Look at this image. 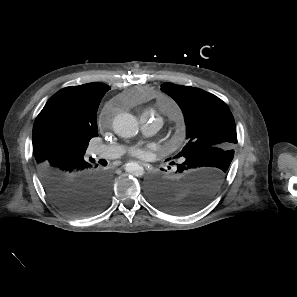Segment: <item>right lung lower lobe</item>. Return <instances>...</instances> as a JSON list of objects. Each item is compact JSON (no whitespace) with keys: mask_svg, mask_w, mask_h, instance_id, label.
I'll return each instance as SVG.
<instances>
[{"mask_svg":"<svg viewBox=\"0 0 297 297\" xmlns=\"http://www.w3.org/2000/svg\"><path fill=\"white\" fill-rule=\"evenodd\" d=\"M97 166L84 156L55 157L37 170L46 193L61 210L85 216L101 210L110 195L107 172Z\"/></svg>","mask_w":297,"mask_h":297,"instance_id":"98d812e1","label":"right lung lower lobe"}]
</instances>
